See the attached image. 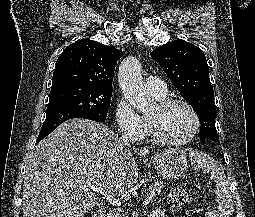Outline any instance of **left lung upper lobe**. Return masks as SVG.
Listing matches in <instances>:
<instances>
[{
    "instance_id": "5c2ea615",
    "label": "left lung upper lobe",
    "mask_w": 255,
    "mask_h": 217,
    "mask_svg": "<svg viewBox=\"0 0 255 217\" xmlns=\"http://www.w3.org/2000/svg\"><path fill=\"white\" fill-rule=\"evenodd\" d=\"M151 56L197 113L201 122L200 140L219 143L214 91L203 51L192 43L175 40L158 47Z\"/></svg>"
}]
</instances>
